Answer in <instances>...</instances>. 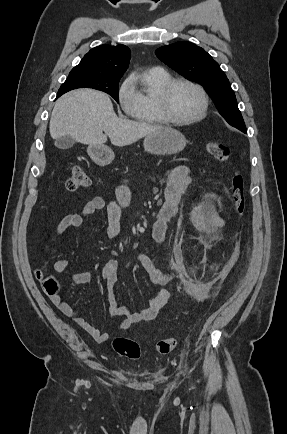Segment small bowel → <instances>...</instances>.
Instances as JSON below:
<instances>
[{"label":"small bowel","instance_id":"c3829d8e","mask_svg":"<svg viewBox=\"0 0 287 434\" xmlns=\"http://www.w3.org/2000/svg\"><path fill=\"white\" fill-rule=\"evenodd\" d=\"M163 183L165 187L164 200L159 208L157 220L152 229V238L156 243H163L167 240L168 224L177 214L180 199L191 183L189 169L184 165H176L170 168L164 176ZM130 199V189L125 182L119 187L116 198L113 201L106 203L103 197L96 196L84 205L80 213L70 214L64 217L57 227V234L61 237L70 228L80 229L91 215L99 211H105L107 218V236L111 239L118 238L122 232V207L127 206L130 203ZM135 259L144 269L150 283L158 286H165L168 283L169 275L159 269L149 256L139 252ZM118 265V260L111 259L105 264L101 271L102 278L107 281L111 288L117 281L116 271ZM67 266L68 261L66 259H57L53 264V269L55 272L61 273L66 270ZM91 278L92 272L90 270L74 272L70 275V280L74 284L87 283ZM169 298V291L162 287L154 293L149 301L148 307L138 313H132L126 306L121 305L113 292H110L108 300L111 313L124 318L120 324V328L125 330L135 323L152 320L159 310L168 302ZM51 300L63 314L73 318V320L96 342L105 343L108 341L109 335L107 333L101 332L98 328L91 325L60 296H53Z\"/></svg>","mask_w":287,"mask_h":434}]
</instances>
